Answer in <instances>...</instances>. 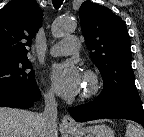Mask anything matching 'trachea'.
<instances>
[{
    "instance_id": "3493384b",
    "label": "trachea",
    "mask_w": 144,
    "mask_h": 137,
    "mask_svg": "<svg viewBox=\"0 0 144 137\" xmlns=\"http://www.w3.org/2000/svg\"><path fill=\"white\" fill-rule=\"evenodd\" d=\"M52 3L54 7L58 9L62 5L63 0H52Z\"/></svg>"
}]
</instances>
